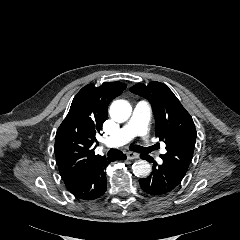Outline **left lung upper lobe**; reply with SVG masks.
Returning <instances> with one entry per match:
<instances>
[{
	"mask_svg": "<svg viewBox=\"0 0 240 240\" xmlns=\"http://www.w3.org/2000/svg\"><path fill=\"white\" fill-rule=\"evenodd\" d=\"M130 91L147 99L156 120V136L166 144L164 162L186 173L193 158L196 129L192 117L163 83L137 84Z\"/></svg>",
	"mask_w": 240,
	"mask_h": 240,
	"instance_id": "left-lung-upper-lobe-1",
	"label": "left lung upper lobe"
}]
</instances>
